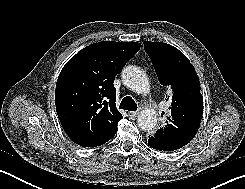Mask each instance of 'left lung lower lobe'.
I'll list each match as a JSON object with an SVG mask.
<instances>
[{
	"mask_svg": "<svg viewBox=\"0 0 245 189\" xmlns=\"http://www.w3.org/2000/svg\"><path fill=\"white\" fill-rule=\"evenodd\" d=\"M148 144L150 147L156 150L160 151H172L168 147L164 146V144L160 143L158 140H156L154 137L150 136L148 139Z\"/></svg>",
	"mask_w": 245,
	"mask_h": 189,
	"instance_id": "obj_1",
	"label": "left lung lower lobe"
}]
</instances>
